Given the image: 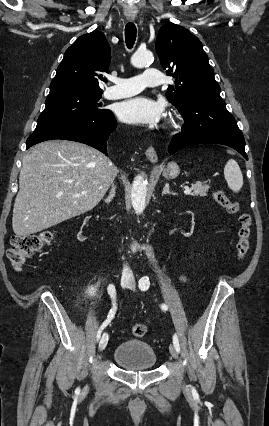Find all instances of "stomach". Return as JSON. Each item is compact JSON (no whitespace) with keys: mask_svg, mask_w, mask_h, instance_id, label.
<instances>
[{"mask_svg":"<svg viewBox=\"0 0 269 426\" xmlns=\"http://www.w3.org/2000/svg\"><path fill=\"white\" fill-rule=\"evenodd\" d=\"M180 174V168L177 163L169 162L166 168L163 169V176L167 179L176 178Z\"/></svg>","mask_w":269,"mask_h":426,"instance_id":"1","label":"stomach"}]
</instances>
